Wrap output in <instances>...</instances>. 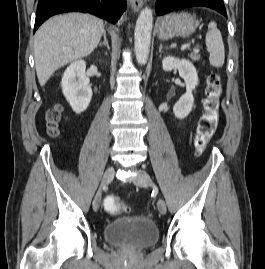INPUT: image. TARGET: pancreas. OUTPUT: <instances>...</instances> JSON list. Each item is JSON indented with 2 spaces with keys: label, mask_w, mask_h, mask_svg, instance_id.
Returning <instances> with one entry per match:
<instances>
[{
  "label": "pancreas",
  "mask_w": 265,
  "mask_h": 269,
  "mask_svg": "<svg viewBox=\"0 0 265 269\" xmlns=\"http://www.w3.org/2000/svg\"><path fill=\"white\" fill-rule=\"evenodd\" d=\"M189 57L193 60V61H198L200 59V55H198L197 53H191L189 55Z\"/></svg>",
  "instance_id": "obj_1"
}]
</instances>
